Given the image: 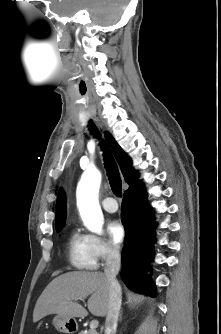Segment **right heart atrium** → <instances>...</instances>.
<instances>
[{
    "label": "right heart atrium",
    "instance_id": "d8ad5b80",
    "mask_svg": "<svg viewBox=\"0 0 221 334\" xmlns=\"http://www.w3.org/2000/svg\"><path fill=\"white\" fill-rule=\"evenodd\" d=\"M91 243L98 261L106 262L118 255V249L99 236H91Z\"/></svg>",
    "mask_w": 221,
    "mask_h": 334
}]
</instances>
